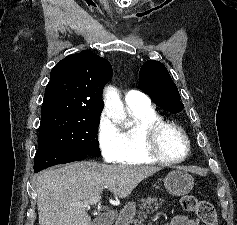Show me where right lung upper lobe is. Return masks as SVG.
Returning <instances> with one entry per match:
<instances>
[{
	"mask_svg": "<svg viewBox=\"0 0 237 225\" xmlns=\"http://www.w3.org/2000/svg\"><path fill=\"white\" fill-rule=\"evenodd\" d=\"M111 77V64L92 52L67 56L51 71L41 120L64 115L101 114L102 89Z\"/></svg>",
	"mask_w": 237,
	"mask_h": 225,
	"instance_id": "right-lung-upper-lobe-1",
	"label": "right lung upper lobe"
}]
</instances>
